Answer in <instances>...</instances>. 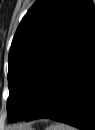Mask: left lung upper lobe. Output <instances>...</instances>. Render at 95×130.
<instances>
[{"mask_svg":"<svg viewBox=\"0 0 95 130\" xmlns=\"http://www.w3.org/2000/svg\"><path fill=\"white\" fill-rule=\"evenodd\" d=\"M95 15L91 0H37L22 19L9 51L8 120L22 119L51 69Z\"/></svg>","mask_w":95,"mask_h":130,"instance_id":"obj_1","label":"left lung upper lobe"}]
</instances>
